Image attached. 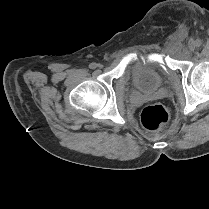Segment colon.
<instances>
[{"mask_svg": "<svg viewBox=\"0 0 209 209\" xmlns=\"http://www.w3.org/2000/svg\"><path fill=\"white\" fill-rule=\"evenodd\" d=\"M170 117L171 112L165 106L151 105L143 109L141 123L146 129L155 131L167 124Z\"/></svg>", "mask_w": 209, "mask_h": 209, "instance_id": "5ec220e1", "label": "colon"}]
</instances>
